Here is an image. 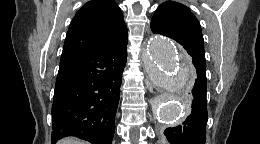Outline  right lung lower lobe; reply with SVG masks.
I'll return each mask as SVG.
<instances>
[{
  "mask_svg": "<svg viewBox=\"0 0 260 144\" xmlns=\"http://www.w3.org/2000/svg\"><path fill=\"white\" fill-rule=\"evenodd\" d=\"M127 42L60 60L52 106V142L76 136L111 144Z\"/></svg>",
  "mask_w": 260,
  "mask_h": 144,
  "instance_id": "98d812e1",
  "label": "right lung lower lobe"
}]
</instances>
